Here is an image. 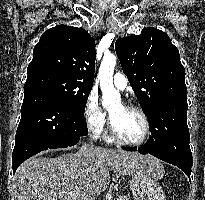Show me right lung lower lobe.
<instances>
[{"mask_svg":"<svg viewBox=\"0 0 205 200\" xmlns=\"http://www.w3.org/2000/svg\"><path fill=\"white\" fill-rule=\"evenodd\" d=\"M87 133L83 114L46 90L24 89L12 155L13 172L29 157L43 150L73 146Z\"/></svg>","mask_w":205,"mask_h":200,"instance_id":"98d812e1","label":"right lung lower lobe"}]
</instances>
